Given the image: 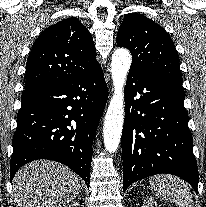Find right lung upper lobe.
<instances>
[{"label":"right lung upper lobe","instance_id":"1","mask_svg":"<svg viewBox=\"0 0 206 207\" xmlns=\"http://www.w3.org/2000/svg\"><path fill=\"white\" fill-rule=\"evenodd\" d=\"M98 67L90 32L78 19L67 18L44 30L33 44L25 90L68 82Z\"/></svg>","mask_w":206,"mask_h":207}]
</instances>
